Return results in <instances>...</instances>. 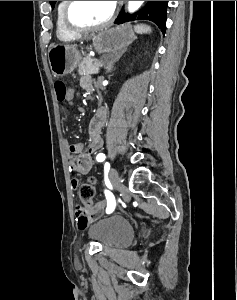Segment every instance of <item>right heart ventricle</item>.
<instances>
[{
  "label": "right heart ventricle",
  "mask_w": 237,
  "mask_h": 300,
  "mask_svg": "<svg viewBox=\"0 0 237 300\" xmlns=\"http://www.w3.org/2000/svg\"><path fill=\"white\" fill-rule=\"evenodd\" d=\"M67 1H60L57 6V35L60 39H71L75 37V33H72L67 29L64 24L63 12Z\"/></svg>",
  "instance_id": "e07e8e85"
}]
</instances>
